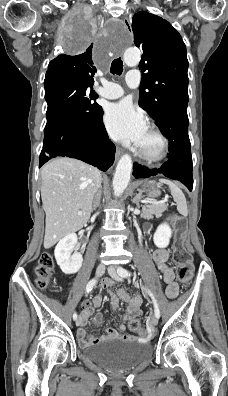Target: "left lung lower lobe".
<instances>
[{"instance_id": "obj_1", "label": "left lung lower lobe", "mask_w": 228, "mask_h": 396, "mask_svg": "<svg viewBox=\"0 0 228 396\" xmlns=\"http://www.w3.org/2000/svg\"><path fill=\"white\" fill-rule=\"evenodd\" d=\"M169 139V159L160 168L149 170L137 163L133 165L135 178H146L157 174L182 182L190 191L193 187L192 156L188 136L187 103L166 110L157 125Z\"/></svg>"}]
</instances>
